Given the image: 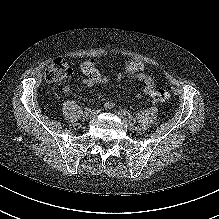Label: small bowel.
<instances>
[{
  "label": "small bowel",
  "mask_w": 219,
  "mask_h": 219,
  "mask_svg": "<svg viewBox=\"0 0 219 219\" xmlns=\"http://www.w3.org/2000/svg\"><path fill=\"white\" fill-rule=\"evenodd\" d=\"M135 66L138 68V71L131 74L130 76L143 82L144 83V95H149L153 89H154V79L143 72H140L141 65L138 62L130 61L128 62L126 67ZM81 73L83 74V84L92 87L98 83L105 82L107 80L106 77H104L98 69L95 67L94 63L92 61H86L82 63L81 65ZM123 76L120 75L119 78H122ZM62 93L64 95H70L71 94V88L70 86L66 85L62 88ZM137 98H141V94L136 95ZM102 98L101 95L98 96V99ZM114 105L113 102H106L105 106L110 108Z\"/></svg>",
  "instance_id": "small-bowel-1"
}]
</instances>
